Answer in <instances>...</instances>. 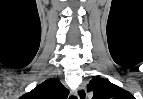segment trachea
Listing matches in <instances>:
<instances>
[{
  "label": "trachea",
  "instance_id": "obj_1",
  "mask_svg": "<svg viewBox=\"0 0 143 99\" xmlns=\"http://www.w3.org/2000/svg\"><path fill=\"white\" fill-rule=\"evenodd\" d=\"M70 99H77L75 96H71Z\"/></svg>",
  "mask_w": 143,
  "mask_h": 99
}]
</instances>
